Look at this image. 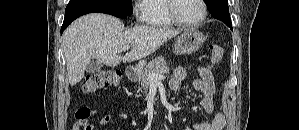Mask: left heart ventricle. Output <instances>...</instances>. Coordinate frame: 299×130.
Here are the masks:
<instances>
[{
    "label": "left heart ventricle",
    "mask_w": 299,
    "mask_h": 130,
    "mask_svg": "<svg viewBox=\"0 0 299 130\" xmlns=\"http://www.w3.org/2000/svg\"><path fill=\"white\" fill-rule=\"evenodd\" d=\"M175 12L184 21H194L202 13V8L198 0H176Z\"/></svg>",
    "instance_id": "obj_1"
}]
</instances>
